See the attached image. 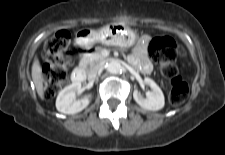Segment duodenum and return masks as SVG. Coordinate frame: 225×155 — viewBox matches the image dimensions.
<instances>
[{
	"label": "duodenum",
	"mask_w": 225,
	"mask_h": 155,
	"mask_svg": "<svg viewBox=\"0 0 225 155\" xmlns=\"http://www.w3.org/2000/svg\"><path fill=\"white\" fill-rule=\"evenodd\" d=\"M71 79L74 83H81L86 79V72L82 66L74 69Z\"/></svg>",
	"instance_id": "410a0bca"
}]
</instances>
